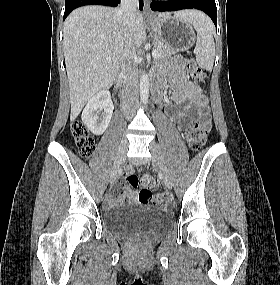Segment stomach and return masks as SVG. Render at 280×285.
<instances>
[{"label": "stomach", "mask_w": 280, "mask_h": 285, "mask_svg": "<svg viewBox=\"0 0 280 285\" xmlns=\"http://www.w3.org/2000/svg\"><path fill=\"white\" fill-rule=\"evenodd\" d=\"M149 25L160 41L177 51L188 50L195 42L191 24L176 15L155 19Z\"/></svg>", "instance_id": "stomach-1"}]
</instances>
